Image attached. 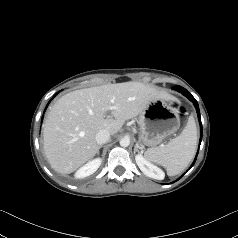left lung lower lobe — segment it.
Returning a JSON list of instances; mask_svg holds the SVG:
<instances>
[{"mask_svg":"<svg viewBox=\"0 0 238 238\" xmlns=\"http://www.w3.org/2000/svg\"><path fill=\"white\" fill-rule=\"evenodd\" d=\"M173 89L182 93L184 96H186L189 100H191L194 103V106H195L197 114H198L199 122H200V143H201V140H202V123H201V118H200V110H199V106H198V103H197L196 99L185 88H183L179 85L174 86ZM197 155H198V153H197ZM197 155L195 157V160H194L192 166L194 165V163L196 161Z\"/></svg>","mask_w":238,"mask_h":238,"instance_id":"1","label":"left lung lower lobe"}]
</instances>
